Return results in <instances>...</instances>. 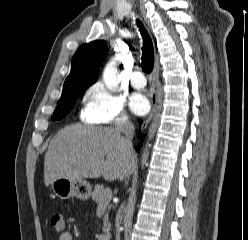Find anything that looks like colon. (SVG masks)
I'll return each mask as SVG.
<instances>
[{
  "mask_svg": "<svg viewBox=\"0 0 248 240\" xmlns=\"http://www.w3.org/2000/svg\"><path fill=\"white\" fill-rule=\"evenodd\" d=\"M50 222H51V226L56 232L58 233L64 232L65 221H64V216L62 214H54Z\"/></svg>",
  "mask_w": 248,
  "mask_h": 240,
  "instance_id": "5ec220e1",
  "label": "colon"
}]
</instances>
